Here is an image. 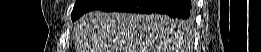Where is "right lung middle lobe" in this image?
Listing matches in <instances>:
<instances>
[{
	"mask_svg": "<svg viewBox=\"0 0 261 52\" xmlns=\"http://www.w3.org/2000/svg\"><path fill=\"white\" fill-rule=\"evenodd\" d=\"M106 0H76L74 9L72 11L71 17L72 20L78 19L81 15L84 13L94 10L103 3H105ZM162 20H165L166 22L172 23L176 26H187L191 19H181V18H175L170 16H164L161 18Z\"/></svg>",
	"mask_w": 261,
	"mask_h": 52,
	"instance_id": "1",
	"label": "right lung middle lobe"
}]
</instances>
